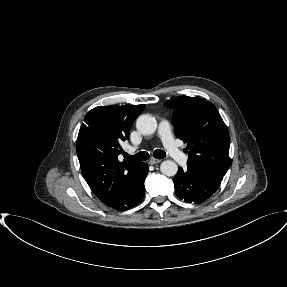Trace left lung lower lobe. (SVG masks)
Returning a JSON list of instances; mask_svg holds the SVG:
<instances>
[{
    "label": "left lung lower lobe",
    "mask_w": 287,
    "mask_h": 287,
    "mask_svg": "<svg viewBox=\"0 0 287 287\" xmlns=\"http://www.w3.org/2000/svg\"><path fill=\"white\" fill-rule=\"evenodd\" d=\"M223 177L179 167L173 181L178 198L188 203H201L218 189Z\"/></svg>",
    "instance_id": "1"
}]
</instances>
